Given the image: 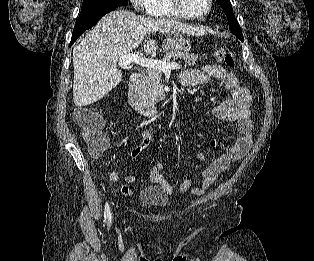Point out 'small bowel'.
Listing matches in <instances>:
<instances>
[{"label": "small bowel", "mask_w": 314, "mask_h": 261, "mask_svg": "<svg viewBox=\"0 0 314 261\" xmlns=\"http://www.w3.org/2000/svg\"><path fill=\"white\" fill-rule=\"evenodd\" d=\"M180 81L184 86H206L209 94H218L221 101L213 107V115L221 121L233 123L236 126L240 137L234 144L228 147L225 153L209 161L207 167L203 170L202 188H193L190 179H184L180 185L182 192L192 191L196 195L204 194L224 172L232 160L243 158L249 151L252 144V121L250 106L252 95L244 87L238 77L229 70H226L217 64H208L196 69L186 70L181 73ZM217 83L220 88L210 86ZM103 125V120L101 127ZM154 127H148L141 132L139 143L132 149L130 159H137L151 144ZM200 137L203 134L199 135ZM198 160H206L204 154H198ZM165 164L162 161L156 162L149 170V176L152 182L158 184L166 194L172 193V186L163 175ZM108 179L112 182L118 180L115 172L108 173ZM127 184H134L136 176L132 173L125 175ZM122 184L120 191L125 196H133V190L127 185Z\"/></svg>", "instance_id": "small-bowel-1"}]
</instances>
